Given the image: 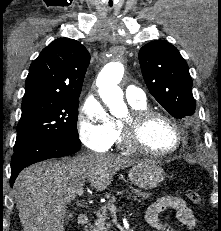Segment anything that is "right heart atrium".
Masks as SVG:
<instances>
[{
  "instance_id": "obj_1",
  "label": "right heart atrium",
  "mask_w": 221,
  "mask_h": 231,
  "mask_svg": "<svg viewBox=\"0 0 221 231\" xmlns=\"http://www.w3.org/2000/svg\"><path fill=\"white\" fill-rule=\"evenodd\" d=\"M78 129L82 143L94 151L107 150L116 138V122L92 96L84 100L79 110Z\"/></svg>"
}]
</instances>
